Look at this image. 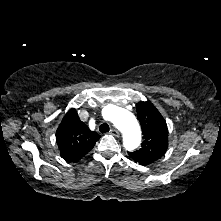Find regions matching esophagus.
Instances as JSON below:
<instances>
[{"label":"esophagus","mask_w":221,"mask_h":221,"mask_svg":"<svg viewBox=\"0 0 221 221\" xmlns=\"http://www.w3.org/2000/svg\"><path fill=\"white\" fill-rule=\"evenodd\" d=\"M110 134L113 135V136H115V137H119V136H120L119 131L116 130V129H111V130H110Z\"/></svg>","instance_id":"34e87169"}]
</instances>
